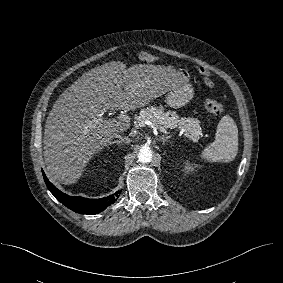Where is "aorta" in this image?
Returning a JSON list of instances; mask_svg holds the SVG:
<instances>
[{
    "label": "aorta",
    "mask_w": 283,
    "mask_h": 283,
    "mask_svg": "<svg viewBox=\"0 0 283 283\" xmlns=\"http://www.w3.org/2000/svg\"><path fill=\"white\" fill-rule=\"evenodd\" d=\"M138 159L142 163H148L152 159V151L149 147H143L138 153Z\"/></svg>",
    "instance_id": "762f6f07"
}]
</instances>
